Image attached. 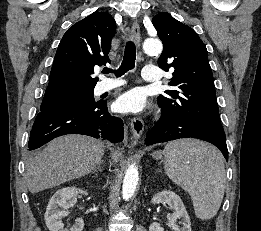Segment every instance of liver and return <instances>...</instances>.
Instances as JSON below:
<instances>
[{"label":"liver","mask_w":261,"mask_h":231,"mask_svg":"<svg viewBox=\"0 0 261 231\" xmlns=\"http://www.w3.org/2000/svg\"><path fill=\"white\" fill-rule=\"evenodd\" d=\"M105 145L82 135L56 138L26 163L25 180L32 194L89 174L103 157ZM114 160L121 157L112 154Z\"/></svg>","instance_id":"1"}]
</instances>
